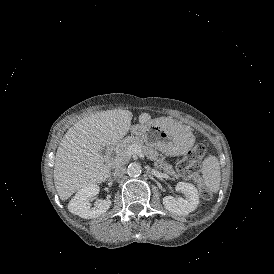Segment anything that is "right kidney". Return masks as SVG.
I'll use <instances>...</instances> for the list:
<instances>
[{"label": "right kidney", "instance_id": "ca27d5eb", "mask_svg": "<svg viewBox=\"0 0 274 274\" xmlns=\"http://www.w3.org/2000/svg\"><path fill=\"white\" fill-rule=\"evenodd\" d=\"M99 193L97 184H88L81 188L68 204V210L84 219L97 218L105 213L111 205L110 200H101L91 208L89 200Z\"/></svg>", "mask_w": 274, "mask_h": 274}]
</instances>
